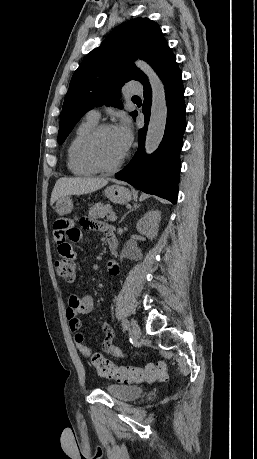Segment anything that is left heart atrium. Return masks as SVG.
I'll use <instances>...</instances> for the list:
<instances>
[{
  "instance_id": "1",
  "label": "left heart atrium",
  "mask_w": 257,
  "mask_h": 459,
  "mask_svg": "<svg viewBox=\"0 0 257 459\" xmlns=\"http://www.w3.org/2000/svg\"><path fill=\"white\" fill-rule=\"evenodd\" d=\"M114 129L121 149L125 153L133 140L131 123L128 119H123Z\"/></svg>"
}]
</instances>
